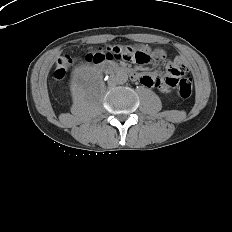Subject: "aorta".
Returning a JSON list of instances; mask_svg holds the SVG:
<instances>
[{
	"label": "aorta",
	"instance_id": "762f6f07",
	"mask_svg": "<svg viewBox=\"0 0 232 232\" xmlns=\"http://www.w3.org/2000/svg\"><path fill=\"white\" fill-rule=\"evenodd\" d=\"M115 82L118 84H124L128 80V75L125 72H118L114 78Z\"/></svg>",
	"mask_w": 232,
	"mask_h": 232
}]
</instances>
